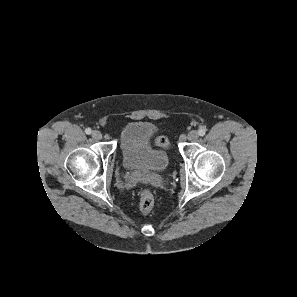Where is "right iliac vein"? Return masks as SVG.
<instances>
[{
	"mask_svg": "<svg viewBox=\"0 0 297 297\" xmlns=\"http://www.w3.org/2000/svg\"><path fill=\"white\" fill-rule=\"evenodd\" d=\"M92 137L95 139V140H100L102 139V133L98 130H94L92 132Z\"/></svg>",
	"mask_w": 297,
	"mask_h": 297,
	"instance_id": "1",
	"label": "right iliac vein"
}]
</instances>
